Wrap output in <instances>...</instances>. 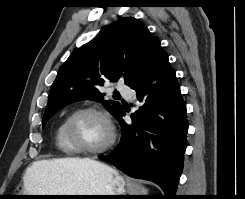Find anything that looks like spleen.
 I'll return each instance as SVG.
<instances>
[{
    "label": "spleen",
    "mask_w": 245,
    "mask_h": 199,
    "mask_svg": "<svg viewBox=\"0 0 245 199\" xmlns=\"http://www.w3.org/2000/svg\"><path fill=\"white\" fill-rule=\"evenodd\" d=\"M127 186L130 195H147V189L133 180L128 179Z\"/></svg>",
    "instance_id": "3e777b00"
}]
</instances>
